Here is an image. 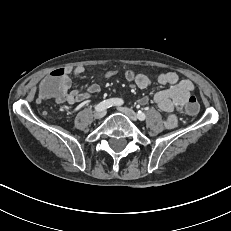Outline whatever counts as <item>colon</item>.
I'll use <instances>...</instances> for the list:
<instances>
[{
  "instance_id": "colon-1",
  "label": "colon",
  "mask_w": 231,
  "mask_h": 231,
  "mask_svg": "<svg viewBox=\"0 0 231 231\" xmlns=\"http://www.w3.org/2000/svg\"><path fill=\"white\" fill-rule=\"evenodd\" d=\"M114 74V71L108 73ZM124 76L127 80L132 81L136 78L137 73L134 69L129 68L125 71ZM64 78V71L62 69H55L51 72L50 76H47L41 81V87L38 88L39 99L42 102L47 101L48 98L57 99L61 96L59 84ZM149 80V79H148ZM186 105L183 108V115L185 117H196L199 110V100L196 95H189L186 98Z\"/></svg>"
}]
</instances>
